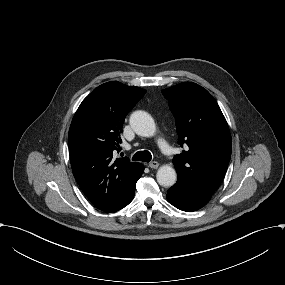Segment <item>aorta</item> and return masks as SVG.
Here are the masks:
<instances>
[{"label": "aorta", "instance_id": "aorta-1", "mask_svg": "<svg viewBox=\"0 0 285 285\" xmlns=\"http://www.w3.org/2000/svg\"><path fill=\"white\" fill-rule=\"evenodd\" d=\"M130 125L134 132L143 137H152L156 133V125L151 117L145 111H135L130 116ZM157 182L164 187H170L177 180V173L170 165H162L156 174Z\"/></svg>", "mask_w": 285, "mask_h": 285}]
</instances>
